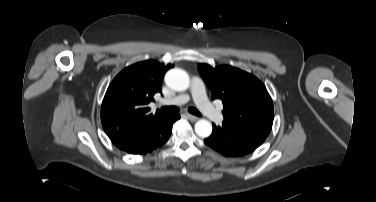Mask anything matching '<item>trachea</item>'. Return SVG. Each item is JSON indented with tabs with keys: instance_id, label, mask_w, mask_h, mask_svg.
<instances>
[{
	"instance_id": "3493384b",
	"label": "trachea",
	"mask_w": 376,
	"mask_h": 202,
	"mask_svg": "<svg viewBox=\"0 0 376 202\" xmlns=\"http://www.w3.org/2000/svg\"><path fill=\"white\" fill-rule=\"evenodd\" d=\"M161 110L165 113H176L179 111V108L176 107V106H170V107H162ZM188 111L191 113V114H194L196 116H201V113L194 107H190L188 108Z\"/></svg>"
}]
</instances>
